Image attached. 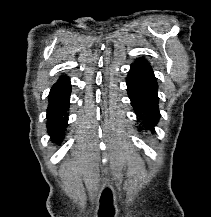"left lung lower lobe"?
Here are the masks:
<instances>
[{
    "label": "left lung lower lobe",
    "mask_w": 211,
    "mask_h": 217,
    "mask_svg": "<svg viewBox=\"0 0 211 217\" xmlns=\"http://www.w3.org/2000/svg\"><path fill=\"white\" fill-rule=\"evenodd\" d=\"M127 92L142 129L154 132L160 113L157 81L153 72L132 64L127 76Z\"/></svg>",
    "instance_id": "obj_1"
}]
</instances>
